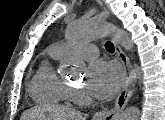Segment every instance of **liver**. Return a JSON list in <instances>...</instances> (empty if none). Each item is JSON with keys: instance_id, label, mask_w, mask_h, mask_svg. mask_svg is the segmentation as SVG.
I'll list each match as a JSON object with an SVG mask.
<instances>
[{"instance_id": "obj_1", "label": "liver", "mask_w": 165, "mask_h": 120, "mask_svg": "<svg viewBox=\"0 0 165 120\" xmlns=\"http://www.w3.org/2000/svg\"><path fill=\"white\" fill-rule=\"evenodd\" d=\"M48 109V108H47ZM45 107H35L24 112L21 120H38L44 117L47 110ZM57 120H84L81 113L69 108H52L50 109Z\"/></svg>"}]
</instances>
